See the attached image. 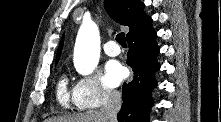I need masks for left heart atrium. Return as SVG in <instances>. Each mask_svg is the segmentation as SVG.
Wrapping results in <instances>:
<instances>
[{
    "instance_id": "obj_1",
    "label": "left heart atrium",
    "mask_w": 221,
    "mask_h": 122,
    "mask_svg": "<svg viewBox=\"0 0 221 122\" xmlns=\"http://www.w3.org/2000/svg\"><path fill=\"white\" fill-rule=\"evenodd\" d=\"M126 69L117 61H110L105 67V83L109 87L117 86L125 77Z\"/></svg>"
}]
</instances>
